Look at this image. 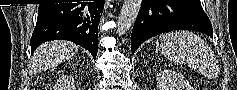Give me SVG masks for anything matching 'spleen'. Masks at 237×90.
I'll return each mask as SVG.
<instances>
[{"label":"spleen","instance_id":"spleen-1","mask_svg":"<svg viewBox=\"0 0 237 90\" xmlns=\"http://www.w3.org/2000/svg\"><path fill=\"white\" fill-rule=\"evenodd\" d=\"M156 48L164 58L175 64H187L192 70L209 76L216 68L217 60L208 44L194 32L178 30L162 34Z\"/></svg>","mask_w":237,"mask_h":90}]
</instances>
